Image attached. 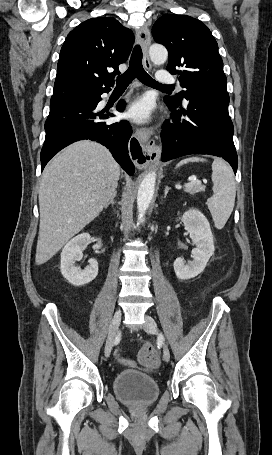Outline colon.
Instances as JSON below:
<instances>
[{
	"label": "colon",
	"instance_id": "colon-1",
	"mask_svg": "<svg viewBox=\"0 0 272 455\" xmlns=\"http://www.w3.org/2000/svg\"><path fill=\"white\" fill-rule=\"evenodd\" d=\"M158 355L152 345H144L138 353V361L147 367H152L158 363Z\"/></svg>",
	"mask_w": 272,
	"mask_h": 455
}]
</instances>
